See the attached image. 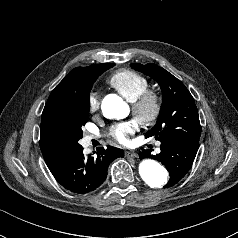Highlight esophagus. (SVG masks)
<instances>
[{
  "mask_svg": "<svg viewBox=\"0 0 238 238\" xmlns=\"http://www.w3.org/2000/svg\"><path fill=\"white\" fill-rule=\"evenodd\" d=\"M125 155H126L127 157H132V158H136V157L138 156L136 152L131 151V150H127V151L125 152Z\"/></svg>",
  "mask_w": 238,
  "mask_h": 238,
  "instance_id": "1",
  "label": "esophagus"
}]
</instances>
